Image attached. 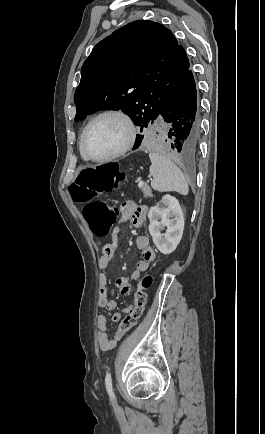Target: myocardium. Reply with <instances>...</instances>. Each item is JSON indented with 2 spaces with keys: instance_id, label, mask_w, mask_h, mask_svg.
Returning a JSON list of instances; mask_svg holds the SVG:
<instances>
[{
  "instance_id": "myocardium-1",
  "label": "myocardium",
  "mask_w": 265,
  "mask_h": 434,
  "mask_svg": "<svg viewBox=\"0 0 265 434\" xmlns=\"http://www.w3.org/2000/svg\"><path fill=\"white\" fill-rule=\"evenodd\" d=\"M107 116H116L120 119H122L127 127V138H126V142L124 143V145L117 150L115 153L104 157V158H93L91 156H89L84 149V143H85V139L91 129V127L100 119L107 117ZM136 137H137V128L135 125V122L133 120V118L124 110L120 109V108H109V109H105L99 113H97L85 126V128L82 131V134L80 136L79 139V152L81 157L89 162V163H95V164H103V163H107L113 160H116L120 157H122L123 155H125L128 151H130L132 149V147L135 144L136 141Z\"/></svg>"
}]
</instances>
